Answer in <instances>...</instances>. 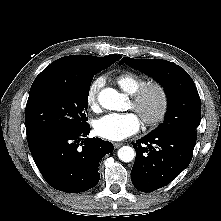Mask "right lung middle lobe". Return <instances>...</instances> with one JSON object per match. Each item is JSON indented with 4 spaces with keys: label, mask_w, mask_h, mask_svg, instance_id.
I'll return each instance as SVG.
<instances>
[{
    "label": "right lung middle lobe",
    "mask_w": 221,
    "mask_h": 221,
    "mask_svg": "<svg viewBox=\"0 0 221 221\" xmlns=\"http://www.w3.org/2000/svg\"><path fill=\"white\" fill-rule=\"evenodd\" d=\"M116 62L102 59L83 77L41 72L34 80L26 104L27 140L53 131L87 126L88 94L94 74Z\"/></svg>",
    "instance_id": "dd1d6c3e"
}]
</instances>
